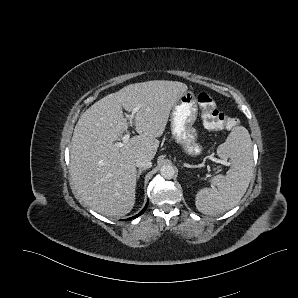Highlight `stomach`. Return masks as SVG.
Returning <instances> with one entry per match:
<instances>
[{
  "label": "stomach",
  "instance_id": "1",
  "mask_svg": "<svg viewBox=\"0 0 298 298\" xmlns=\"http://www.w3.org/2000/svg\"><path fill=\"white\" fill-rule=\"evenodd\" d=\"M198 117V105L193 91L181 95L170 115L172 138L182 151L191 157L200 156L203 146L198 142V131L194 124Z\"/></svg>",
  "mask_w": 298,
  "mask_h": 298
}]
</instances>
